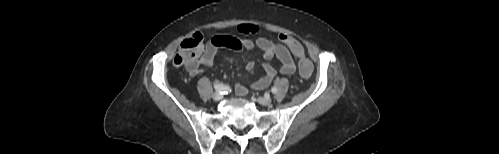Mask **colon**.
Wrapping results in <instances>:
<instances>
[{
    "instance_id": "obj_1",
    "label": "colon",
    "mask_w": 499,
    "mask_h": 154,
    "mask_svg": "<svg viewBox=\"0 0 499 154\" xmlns=\"http://www.w3.org/2000/svg\"><path fill=\"white\" fill-rule=\"evenodd\" d=\"M278 39L287 45L290 51L298 58L299 73L302 77L308 78L312 75V62L306 57L302 44L295 38L280 34ZM204 48V39L200 33H194L185 38L180 49L174 57L175 65L196 64L199 62Z\"/></svg>"
}]
</instances>
